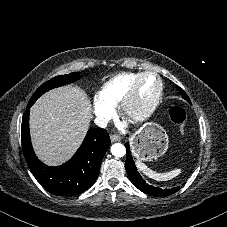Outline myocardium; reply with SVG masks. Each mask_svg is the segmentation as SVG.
Here are the masks:
<instances>
[{"mask_svg": "<svg viewBox=\"0 0 227 227\" xmlns=\"http://www.w3.org/2000/svg\"><path fill=\"white\" fill-rule=\"evenodd\" d=\"M147 77H152L156 81L157 83L156 92L146 105H144L138 111H134L133 106L135 105L138 98L140 84ZM162 95L163 83L159 75L151 71L142 72L132 82L128 92L120 102L119 109L121 115L131 123L134 124L142 123L143 121L148 119L154 112L162 98Z\"/></svg>", "mask_w": 227, "mask_h": 227, "instance_id": "f54148a6", "label": "myocardium"}]
</instances>
